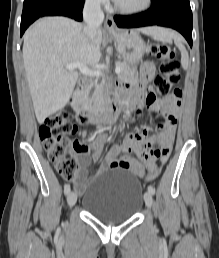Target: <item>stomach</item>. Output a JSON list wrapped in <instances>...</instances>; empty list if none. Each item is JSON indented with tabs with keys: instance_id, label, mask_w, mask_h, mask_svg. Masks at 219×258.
I'll return each mask as SVG.
<instances>
[{
	"instance_id": "obj_1",
	"label": "stomach",
	"mask_w": 219,
	"mask_h": 258,
	"mask_svg": "<svg viewBox=\"0 0 219 258\" xmlns=\"http://www.w3.org/2000/svg\"><path fill=\"white\" fill-rule=\"evenodd\" d=\"M119 55L129 64H137L146 52V45L136 30H120L112 34Z\"/></svg>"
}]
</instances>
